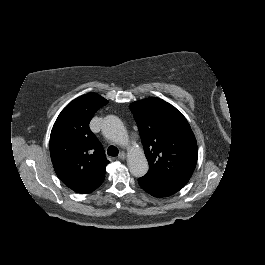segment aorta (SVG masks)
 <instances>
[{
  "label": "aorta",
  "mask_w": 265,
  "mask_h": 265,
  "mask_svg": "<svg viewBox=\"0 0 265 265\" xmlns=\"http://www.w3.org/2000/svg\"><path fill=\"white\" fill-rule=\"evenodd\" d=\"M102 133L107 139L116 143L125 142L128 138L122 121L114 115H109L104 119ZM127 165L130 173L135 177L144 176L149 169L148 161L139 148L129 150Z\"/></svg>",
  "instance_id": "aorta-1"
}]
</instances>
